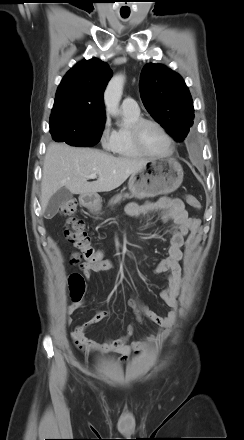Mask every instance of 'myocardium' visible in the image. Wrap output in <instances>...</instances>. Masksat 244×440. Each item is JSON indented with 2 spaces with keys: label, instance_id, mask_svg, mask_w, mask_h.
Returning a JSON list of instances; mask_svg holds the SVG:
<instances>
[{
  "label": "myocardium",
  "instance_id": "f54148a6",
  "mask_svg": "<svg viewBox=\"0 0 244 440\" xmlns=\"http://www.w3.org/2000/svg\"><path fill=\"white\" fill-rule=\"evenodd\" d=\"M146 125L156 126L165 135V137L167 138L168 143H169V149L167 152H165L163 154H153L144 148L141 133H142V129ZM129 136H130V140H131L133 146L142 155L151 156V157H162V156H167V155L172 154L175 149V141H174L173 137L171 136V134L169 133V131L161 123H159L158 121L153 120V119L140 118V119L136 120L135 122H133L129 127Z\"/></svg>",
  "mask_w": 244,
  "mask_h": 440
}]
</instances>
